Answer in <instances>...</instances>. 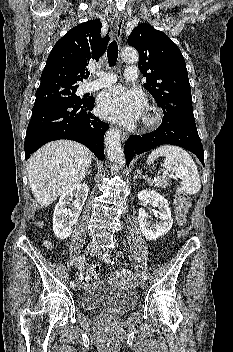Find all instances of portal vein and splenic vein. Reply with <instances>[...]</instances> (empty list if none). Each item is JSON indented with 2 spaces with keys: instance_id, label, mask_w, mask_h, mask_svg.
<instances>
[{
  "instance_id": "1",
  "label": "portal vein and splenic vein",
  "mask_w": 233,
  "mask_h": 352,
  "mask_svg": "<svg viewBox=\"0 0 233 352\" xmlns=\"http://www.w3.org/2000/svg\"><path fill=\"white\" fill-rule=\"evenodd\" d=\"M162 177H170V178H175V179L177 178L176 176L169 174L168 172H164L160 178H162ZM149 179L152 181H157L159 178H154V179L149 178Z\"/></svg>"
}]
</instances>
